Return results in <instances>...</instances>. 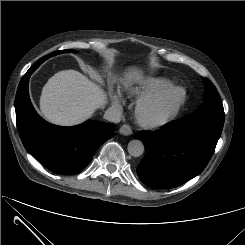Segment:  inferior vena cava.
<instances>
[{
    "instance_id": "obj_1",
    "label": "inferior vena cava",
    "mask_w": 245,
    "mask_h": 245,
    "mask_svg": "<svg viewBox=\"0 0 245 245\" xmlns=\"http://www.w3.org/2000/svg\"><path fill=\"white\" fill-rule=\"evenodd\" d=\"M104 118L110 122L118 123L121 120V112L116 108L110 107L105 111Z\"/></svg>"
}]
</instances>
